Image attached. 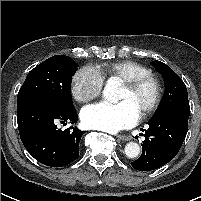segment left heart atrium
I'll list each match as a JSON object with an SVG mask.
<instances>
[{"label":"left heart atrium","instance_id":"obj_1","mask_svg":"<svg viewBox=\"0 0 201 201\" xmlns=\"http://www.w3.org/2000/svg\"><path fill=\"white\" fill-rule=\"evenodd\" d=\"M139 115L128 101L116 104L100 102L83 108L81 120L87 128L115 133L134 126Z\"/></svg>","mask_w":201,"mask_h":201}]
</instances>
